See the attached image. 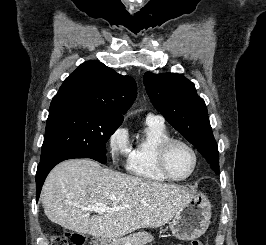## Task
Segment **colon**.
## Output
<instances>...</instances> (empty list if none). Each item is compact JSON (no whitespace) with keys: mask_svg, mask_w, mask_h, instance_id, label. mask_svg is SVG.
<instances>
[{"mask_svg":"<svg viewBox=\"0 0 266 245\" xmlns=\"http://www.w3.org/2000/svg\"><path fill=\"white\" fill-rule=\"evenodd\" d=\"M84 237L80 233H64L51 236V245H83ZM191 245H201L198 240H193Z\"/></svg>","mask_w":266,"mask_h":245,"instance_id":"5ec220e1","label":"colon"}]
</instances>
